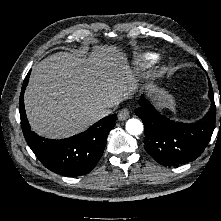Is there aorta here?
Wrapping results in <instances>:
<instances>
[{
	"label": "aorta",
	"mask_w": 221,
	"mask_h": 221,
	"mask_svg": "<svg viewBox=\"0 0 221 221\" xmlns=\"http://www.w3.org/2000/svg\"><path fill=\"white\" fill-rule=\"evenodd\" d=\"M125 129L130 135L137 136L143 132L144 126L140 120L132 118L126 122Z\"/></svg>",
	"instance_id": "aorta-1"
}]
</instances>
